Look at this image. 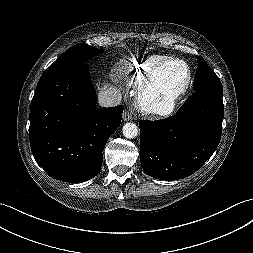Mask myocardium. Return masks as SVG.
Here are the masks:
<instances>
[{
    "label": "myocardium",
    "instance_id": "f54148a6",
    "mask_svg": "<svg viewBox=\"0 0 253 253\" xmlns=\"http://www.w3.org/2000/svg\"><path fill=\"white\" fill-rule=\"evenodd\" d=\"M178 63L185 67L187 75L184 84L176 90L158 91L154 89V82L160 71L168 64ZM193 73L191 66L179 58H168L157 65L144 79L138 89V106L148 114L168 116L174 112L178 102L186 95L191 83Z\"/></svg>",
    "mask_w": 253,
    "mask_h": 253
}]
</instances>
